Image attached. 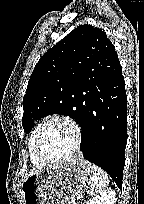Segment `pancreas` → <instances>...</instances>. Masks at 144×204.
Here are the masks:
<instances>
[{
	"instance_id": "pancreas-1",
	"label": "pancreas",
	"mask_w": 144,
	"mask_h": 204,
	"mask_svg": "<svg viewBox=\"0 0 144 204\" xmlns=\"http://www.w3.org/2000/svg\"><path fill=\"white\" fill-rule=\"evenodd\" d=\"M68 204H74V203H72V201H70V202H68Z\"/></svg>"
}]
</instances>
